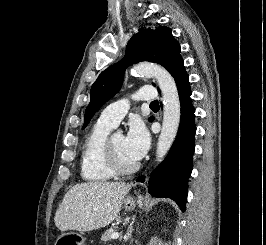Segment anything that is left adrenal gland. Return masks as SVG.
I'll return each instance as SVG.
<instances>
[{
	"instance_id": "1",
	"label": "left adrenal gland",
	"mask_w": 266,
	"mask_h": 245,
	"mask_svg": "<svg viewBox=\"0 0 266 245\" xmlns=\"http://www.w3.org/2000/svg\"><path fill=\"white\" fill-rule=\"evenodd\" d=\"M131 233H132V227H128V231L125 235V241H128V239H132Z\"/></svg>"
}]
</instances>
